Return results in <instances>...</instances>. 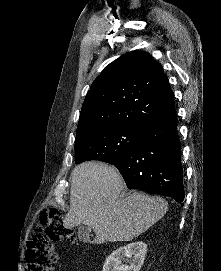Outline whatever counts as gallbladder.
Wrapping results in <instances>:
<instances>
[{
    "label": "gallbladder",
    "instance_id": "1",
    "mask_svg": "<svg viewBox=\"0 0 221 271\" xmlns=\"http://www.w3.org/2000/svg\"><path fill=\"white\" fill-rule=\"evenodd\" d=\"M92 227L90 225H79L78 227V237L79 241H90Z\"/></svg>",
    "mask_w": 221,
    "mask_h": 271
}]
</instances>
